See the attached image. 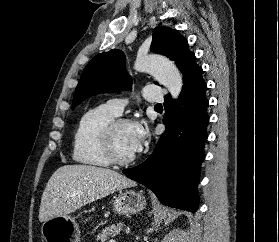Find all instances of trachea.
Masks as SVG:
<instances>
[{
    "instance_id": "trachea-1",
    "label": "trachea",
    "mask_w": 279,
    "mask_h": 242,
    "mask_svg": "<svg viewBox=\"0 0 279 242\" xmlns=\"http://www.w3.org/2000/svg\"><path fill=\"white\" fill-rule=\"evenodd\" d=\"M155 107H162V105L161 104H156Z\"/></svg>"
}]
</instances>
